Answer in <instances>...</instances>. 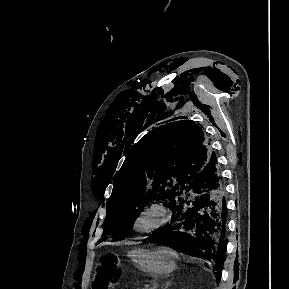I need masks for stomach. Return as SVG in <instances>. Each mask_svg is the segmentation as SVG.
Wrapping results in <instances>:
<instances>
[{"instance_id": "obj_1", "label": "stomach", "mask_w": 289, "mask_h": 289, "mask_svg": "<svg viewBox=\"0 0 289 289\" xmlns=\"http://www.w3.org/2000/svg\"><path fill=\"white\" fill-rule=\"evenodd\" d=\"M128 256L139 270L150 275H167L176 267L173 252L165 247L155 251L138 248L131 250Z\"/></svg>"}]
</instances>
